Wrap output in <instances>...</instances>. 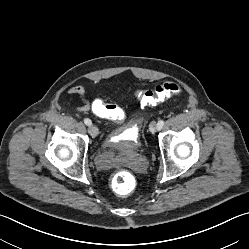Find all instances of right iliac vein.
<instances>
[{
    "label": "right iliac vein",
    "instance_id": "1",
    "mask_svg": "<svg viewBox=\"0 0 249 249\" xmlns=\"http://www.w3.org/2000/svg\"><path fill=\"white\" fill-rule=\"evenodd\" d=\"M88 131L92 137H96L99 134V130L95 125H89Z\"/></svg>",
    "mask_w": 249,
    "mask_h": 249
}]
</instances>
